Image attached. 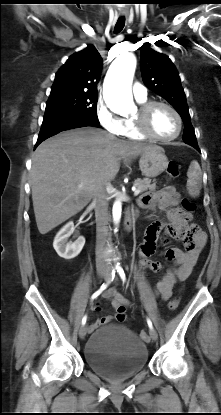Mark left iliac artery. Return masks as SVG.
<instances>
[{"mask_svg": "<svg viewBox=\"0 0 221 415\" xmlns=\"http://www.w3.org/2000/svg\"><path fill=\"white\" fill-rule=\"evenodd\" d=\"M117 272L119 273V276L121 277L122 281L125 282L126 281V276H125V272H124L123 268L118 266L117 267ZM147 324H148L150 329L153 328L152 322L149 318H147Z\"/></svg>", "mask_w": 221, "mask_h": 415, "instance_id": "1", "label": "left iliac artery"}]
</instances>
